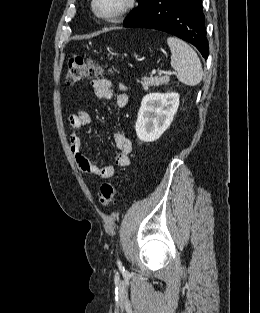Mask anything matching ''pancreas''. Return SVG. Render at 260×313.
Listing matches in <instances>:
<instances>
[{"mask_svg":"<svg viewBox=\"0 0 260 313\" xmlns=\"http://www.w3.org/2000/svg\"><path fill=\"white\" fill-rule=\"evenodd\" d=\"M139 82V81H138ZM169 77L168 76H162V77H143L140 83L142 84V87L144 90H148L149 87H158L163 84H168Z\"/></svg>","mask_w":260,"mask_h":313,"instance_id":"1","label":"pancreas"}]
</instances>
